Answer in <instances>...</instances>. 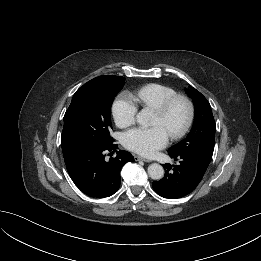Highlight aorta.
Segmentation results:
<instances>
[{
	"mask_svg": "<svg viewBox=\"0 0 261 261\" xmlns=\"http://www.w3.org/2000/svg\"><path fill=\"white\" fill-rule=\"evenodd\" d=\"M150 119H151V113L148 109H142L136 115L137 123L142 125V126L149 125ZM148 174L152 179L160 180L164 176V169L160 164L153 163V164L148 166Z\"/></svg>",
	"mask_w": 261,
	"mask_h": 261,
	"instance_id": "aorta-1",
	"label": "aorta"
}]
</instances>
